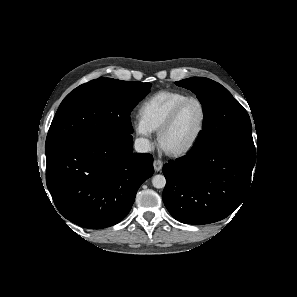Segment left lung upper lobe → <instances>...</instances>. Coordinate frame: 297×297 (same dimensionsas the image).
Returning <instances> with one entry per match:
<instances>
[{"label": "left lung upper lobe", "instance_id": "1", "mask_svg": "<svg viewBox=\"0 0 297 297\" xmlns=\"http://www.w3.org/2000/svg\"><path fill=\"white\" fill-rule=\"evenodd\" d=\"M176 85L195 93L205 114L203 130L191 151L217 144L255 150L249 115L226 88L201 77L177 81Z\"/></svg>", "mask_w": 297, "mask_h": 297}]
</instances>
